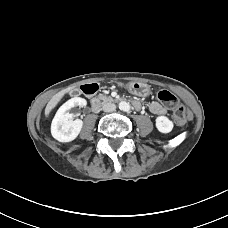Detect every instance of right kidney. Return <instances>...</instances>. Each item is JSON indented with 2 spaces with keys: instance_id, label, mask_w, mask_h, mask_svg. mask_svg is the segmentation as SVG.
Listing matches in <instances>:
<instances>
[{
  "instance_id": "1",
  "label": "right kidney",
  "mask_w": 228,
  "mask_h": 228,
  "mask_svg": "<svg viewBox=\"0 0 228 228\" xmlns=\"http://www.w3.org/2000/svg\"><path fill=\"white\" fill-rule=\"evenodd\" d=\"M87 102L80 97H74L65 102L57 111L52 124L51 134L59 142H71L79 135L83 121L73 120V114L69 110L75 106L84 107Z\"/></svg>"
}]
</instances>
